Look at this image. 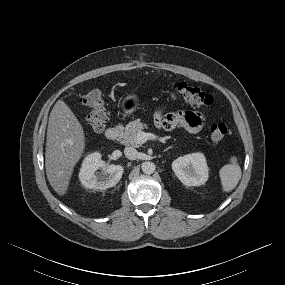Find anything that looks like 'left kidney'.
Returning a JSON list of instances; mask_svg holds the SVG:
<instances>
[{
	"label": "left kidney",
	"instance_id": "5707ae66",
	"mask_svg": "<svg viewBox=\"0 0 285 285\" xmlns=\"http://www.w3.org/2000/svg\"><path fill=\"white\" fill-rule=\"evenodd\" d=\"M172 170L186 186H201L208 180V166L202 153L179 157L172 163Z\"/></svg>",
	"mask_w": 285,
	"mask_h": 285
}]
</instances>
